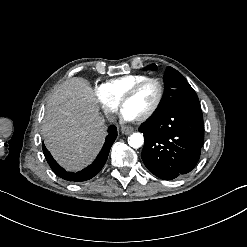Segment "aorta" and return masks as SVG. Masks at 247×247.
Listing matches in <instances>:
<instances>
[{"instance_id":"obj_1","label":"aorta","mask_w":247,"mask_h":247,"mask_svg":"<svg viewBox=\"0 0 247 247\" xmlns=\"http://www.w3.org/2000/svg\"><path fill=\"white\" fill-rule=\"evenodd\" d=\"M128 144L132 148H139L144 144V137L141 133H133L129 138H128Z\"/></svg>"}]
</instances>
